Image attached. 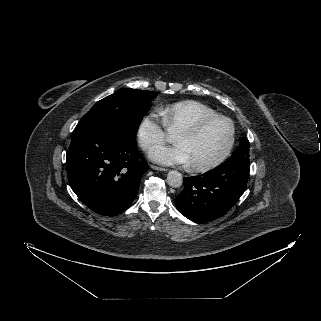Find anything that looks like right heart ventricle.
Listing matches in <instances>:
<instances>
[{"label": "right heart ventricle", "mask_w": 321, "mask_h": 321, "mask_svg": "<svg viewBox=\"0 0 321 321\" xmlns=\"http://www.w3.org/2000/svg\"><path fill=\"white\" fill-rule=\"evenodd\" d=\"M166 129L179 131L201 117L217 114L212 107L196 100H184L160 110Z\"/></svg>", "instance_id": "e07e8e85"}]
</instances>
